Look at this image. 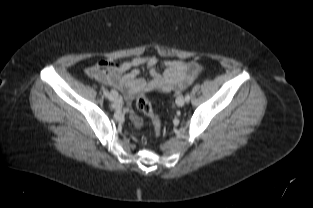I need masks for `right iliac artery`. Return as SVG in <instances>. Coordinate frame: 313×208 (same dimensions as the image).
I'll return each mask as SVG.
<instances>
[{
	"instance_id": "right-iliac-artery-1",
	"label": "right iliac artery",
	"mask_w": 313,
	"mask_h": 208,
	"mask_svg": "<svg viewBox=\"0 0 313 208\" xmlns=\"http://www.w3.org/2000/svg\"><path fill=\"white\" fill-rule=\"evenodd\" d=\"M104 95H105L106 97H108V96H109V92H108L107 90H105V91H104Z\"/></svg>"
}]
</instances>
